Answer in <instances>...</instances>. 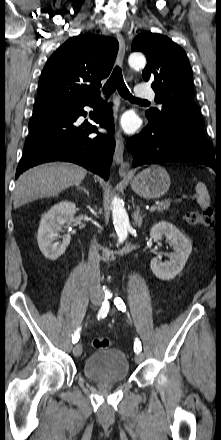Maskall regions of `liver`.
<instances>
[{"label":"liver","instance_id":"6515ba94","mask_svg":"<svg viewBox=\"0 0 221 440\" xmlns=\"http://www.w3.org/2000/svg\"><path fill=\"white\" fill-rule=\"evenodd\" d=\"M87 170L71 163H48L23 173L16 182L14 207L40 198L57 196L72 185H79Z\"/></svg>","mask_w":221,"mask_h":440}]
</instances>
